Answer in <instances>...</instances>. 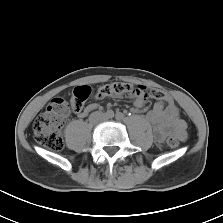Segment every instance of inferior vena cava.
Wrapping results in <instances>:
<instances>
[{
    "instance_id": "602c4592",
    "label": "inferior vena cava",
    "mask_w": 223,
    "mask_h": 223,
    "mask_svg": "<svg viewBox=\"0 0 223 223\" xmlns=\"http://www.w3.org/2000/svg\"><path fill=\"white\" fill-rule=\"evenodd\" d=\"M95 117H100V118H101V117H102V114H100V113H98V112L93 113V114L91 115V120L94 121V118H95Z\"/></svg>"
}]
</instances>
